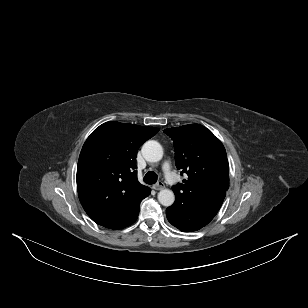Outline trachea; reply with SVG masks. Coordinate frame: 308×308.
Listing matches in <instances>:
<instances>
[{"mask_svg": "<svg viewBox=\"0 0 308 308\" xmlns=\"http://www.w3.org/2000/svg\"><path fill=\"white\" fill-rule=\"evenodd\" d=\"M144 182L147 184H155L158 180L157 174L155 172L149 171L148 173H146V175L144 176Z\"/></svg>", "mask_w": 308, "mask_h": 308, "instance_id": "1", "label": "trachea"}]
</instances>
